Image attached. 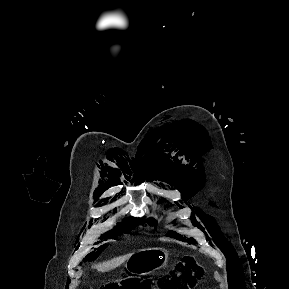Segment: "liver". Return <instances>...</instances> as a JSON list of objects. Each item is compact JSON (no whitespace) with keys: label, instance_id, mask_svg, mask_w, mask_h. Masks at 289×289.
I'll return each instance as SVG.
<instances>
[{"label":"liver","instance_id":"liver-1","mask_svg":"<svg viewBox=\"0 0 289 289\" xmlns=\"http://www.w3.org/2000/svg\"><path fill=\"white\" fill-rule=\"evenodd\" d=\"M131 255L132 254H127L125 256L117 257V258H114V259L107 261V262L99 263L95 266V268L99 272L109 271L113 268L120 266L122 263H124L126 260H128V258H130Z\"/></svg>","mask_w":289,"mask_h":289}]
</instances>
